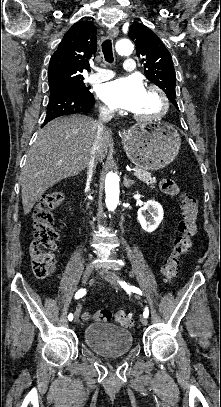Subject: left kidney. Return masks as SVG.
I'll return each mask as SVG.
<instances>
[{
  "instance_id": "left-kidney-1",
  "label": "left kidney",
  "mask_w": 221,
  "mask_h": 407,
  "mask_svg": "<svg viewBox=\"0 0 221 407\" xmlns=\"http://www.w3.org/2000/svg\"><path fill=\"white\" fill-rule=\"evenodd\" d=\"M137 216L141 227L146 232H153L161 223L164 211L158 202L155 200H149L138 210Z\"/></svg>"
}]
</instances>
